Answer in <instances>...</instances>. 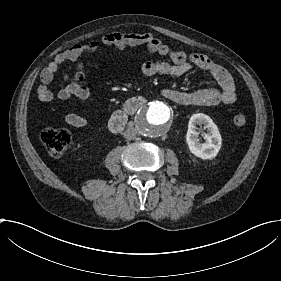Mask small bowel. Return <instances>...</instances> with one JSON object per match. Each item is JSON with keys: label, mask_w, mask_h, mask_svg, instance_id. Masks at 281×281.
<instances>
[{"label": "small bowel", "mask_w": 281, "mask_h": 281, "mask_svg": "<svg viewBox=\"0 0 281 281\" xmlns=\"http://www.w3.org/2000/svg\"><path fill=\"white\" fill-rule=\"evenodd\" d=\"M102 45L111 46L118 50L129 47H144L148 51L167 55L171 62H147L142 65L141 71L146 76L165 75L169 77L183 76L189 73L193 66L198 67L217 83V88L212 85L196 90H181L173 87H161L160 94L166 99L179 105L217 106L231 105L236 102L237 92L232 76L218 65L212 58L201 53H185L175 50L162 43L152 32L141 33H109L101 38ZM99 47L98 41H88L76 44L71 49L56 56L46 66L40 76L41 84L38 96L41 101L53 100L50 84L58 69L66 62L77 59L84 52L95 51ZM71 95L83 99H92L91 92L85 87L66 86L61 88L56 95L58 101L67 100ZM68 125L82 128L87 126V120L75 114L65 117Z\"/></svg>", "instance_id": "obj_1"}]
</instances>
